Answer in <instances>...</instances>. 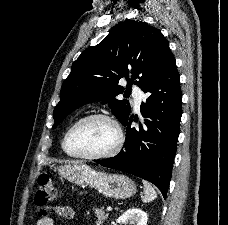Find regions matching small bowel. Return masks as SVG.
Segmentation results:
<instances>
[{"label":"small bowel","instance_id":"1","mask_svg":"<svg viewBox=\"0 0 228 225\" xmlns=\"http://www.w3.org/2000/svg\"><path fill=\"white\" fill-rule=\"evenodd\" d=\"M55 214L65 219H73L75 217V211L65 205L55 207ZM42 216V218L38 219L36 225H55V220L52 216H47L46 212H43Z\"/></svg>","mask_w":228,"mask_h":225}]
</instances>
